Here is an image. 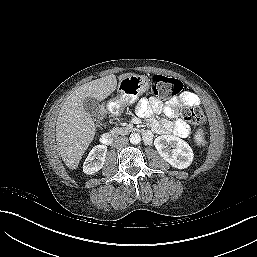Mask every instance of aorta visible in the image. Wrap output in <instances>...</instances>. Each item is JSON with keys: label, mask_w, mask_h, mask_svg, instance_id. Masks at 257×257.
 <instances>
[{"label": "aorta", "mask_w": 257, "mask_h": 257, "mask_svg": "<svg viewBox=\"0 0 257 257\" xmlns=\"http://www.w3.org/2000/svg\"><path fill=\"white\" fill-rule=\"evenodd\" d=\"M130 143L138 144L141 141V136L138 133H132L129 137Z\"/></svg>", "instance_id": "aorta-1"}]
</instances>
